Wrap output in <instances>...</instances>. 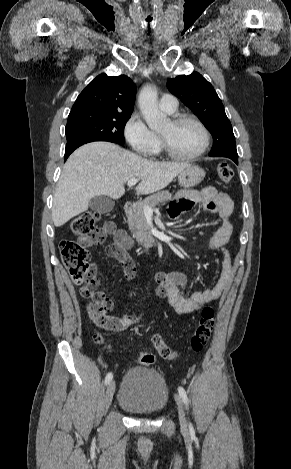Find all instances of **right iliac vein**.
Instances as JSON below:
<instances>
[{"instance_id": "obj_1", "label": "right iliac vein", "mask_w": 291, "mask_h": 469, "mask_svg": "<svg viewBox=\"0 0 291 469\" xmlns=\"http://www.w3.org/2000/svg\"><path fill=\"white\" fill-rule=\"evenodd\" d=\"M115 392V381H110L105 394V409L107 410L112 402Z\"/></svg>"}]
</instances>
